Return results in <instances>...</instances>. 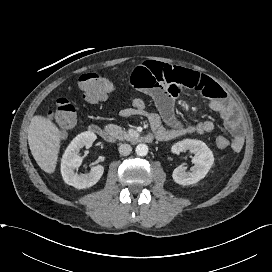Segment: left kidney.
I'll return each instance as SVG.
<instances>
[{
	"instance_id": "obj_1",
	"label": "left kidney",
	"mask_w": 272,
	"mask_h": 272,
	"mask_svg": "<svg viewBox=\"0 0 272 272\" xmlns=\"http://www.w3.org/2000/svg\"><path fill=\"white\" fill-rule=\"evenodd\" d=\"M189 150L194 154L192 162L195 164L192 172H186L184 167L174 169L173 180L180 185L195 184L203 179L209 172L214 162V156L208 146L200 140L184 139L172 146V152H185Z\"/></svg>"
}]
</instances>
